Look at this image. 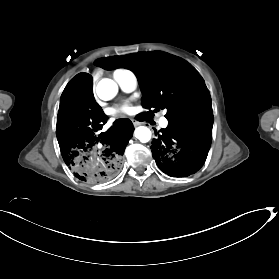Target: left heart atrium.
I'll return each mask as SVG.
<instances>
[{
	"label": "left heart atrium",
	"mask_w": 279,
	"mask_h": 279,
	"mask_svg": "<svg viewBox=\"0 0 279 279\" xmlns=\"http://www.w3.org/2000/svg\"><path fill=\"white\" fill-rule=\"evenodd\" d=\"M134 112H135V108L131 104L127 103V104L123 105L119 110L114 111L113 115L114 116H122V115L129 116V115L134 114Z\"/></svg>",
	"instance_id": "obj_1"
}]
</instances>
